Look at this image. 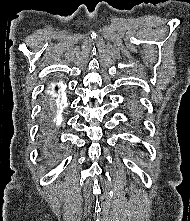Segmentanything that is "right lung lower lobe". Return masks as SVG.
Segmentation results:
<instances>
[{
    "mask_svg": "<svg viewBox=\"0 0 190 221\" xmlns=\"http://www.w3.org/2000/svg\"><path fill=\"white\" fill-rule=\"evenodd\" d=\"M55 108L50 104L44 106L41 115V135L44 140L48 141L51 136L52 126L54 123Z\"/></svg>",
    "mask_w": 190,
    "mask_h": 221,
    "instance_id": "98d812e1",
    "label": "right lung lower lobe"
}]
</instances>
